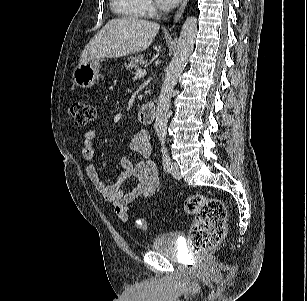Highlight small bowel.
<instances>
[{
	"label": "small bowel",
	"mask_w": 307,
	"mask_h": 301,
	"mask_svg": "<svg viewBox=\"0 0 307 301\" xmlns=\"http://www.w3.org/2000/svg\"><path fill=\"white\" fill-rule=\"evenodd\" d=\"M98 132L88 130L83 136L82 156L91 160L94 156V143ZM130 148L143 157V161L134 164L128 155L121 160L122 170L111 183L104 182L93 164L86 167V174L101 196L109 202L117 217L125 222L132 206L144 198L155 195L160 190V182L156 165L152 161V148L150 135L146 130H139L133 136ZM130 179L135 180V185L125 191V185Z\"/></svg>",
	"instance_id": "small-bowel-1"
}]
</instances>
